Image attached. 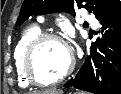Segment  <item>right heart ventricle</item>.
<instances>
[{
    "label": "right heart ventricle",
    "mask_w": 121,
    "mask_h": 94,
    "mask_svg": "<svg viewBox=\"0 0 121 94\" xmlns=\"http://www.w3.org/2000/svg\"><path fill=\"white\" fill-rule=\"evenodd\" d=\"M41 33V29L38 26H30L26 28L21 34L15 49H14V63L18 77V83L21 87L27 88L30 86L24 71H23V55L29 42Z\"/></svg>",
    "instance_id": "obj_1"
}]
</instances>
